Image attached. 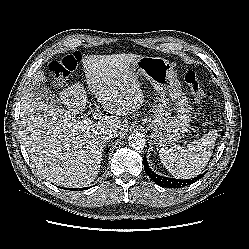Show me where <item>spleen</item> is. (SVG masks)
Returning <instances> with one entry per match:
<instances>
[{
  "label": "spleen",
  "mask_w": 249,
  "mask_h": 249,
  "mask_svg": "<svg viewBox=\"0 0 249 249\" xmlns=\"http://www.w3.org/2000/svg\"><path fill=\"white\" fill-rule=\"evenodd\" d=\"M217 131L212 130L185 148L163 147L159 157L166 169L176 178L188 179L199 175L207 166L215 146Z\"/></svg>",
  "instance_id": "1"
}]
</instances>
